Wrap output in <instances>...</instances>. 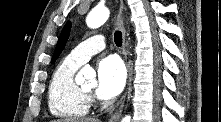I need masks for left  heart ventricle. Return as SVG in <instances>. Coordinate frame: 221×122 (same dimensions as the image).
Masks as SVG:
<instances>
[{
    "instance_id": "1",
    "label": "left heart ventricle",
    "mask_w": 221,
    "mask_h": 122,
    "mask_svg": "<svg viewBox=\"0 0 221 122\" xmlns=\"http://www.w3.org/2000/svg\"><path fill=\"white\" fill-rule=\"evenodd\" d=\"M83 88H84L86 91L92 92L93 89H94V85H93V84H86V85L83 86Z\"/></svg>"
}]
</instances>
